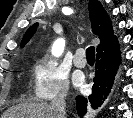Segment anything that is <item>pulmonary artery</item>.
Here are the masks:
<instances>
[{"label": "pulmonary artery", "instance_id": "1", "mask_svg": "<svg viewBox=\"0 0 133 118\" xmlns=\"http://www.w3.org/2000/svg\"><path fill=\"white\" fill-rule=\"evenodd\" d=\"M85 56V50L80 48L76 50L75 55H74V64L75 66L79 68H83L86 65V60L84 58Z\"/></svg>", "mask_w": 133, "mask_h": 118}]
</instances>
